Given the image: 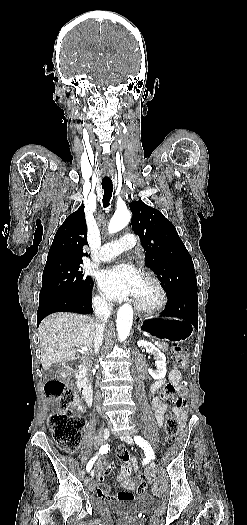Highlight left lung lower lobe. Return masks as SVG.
<instances>
[{
  "label": "left lung lower lobe",
  "instance_id": "obj_1",
  "mask_svg": "<svg viewBox=\"0 0 247 525\" xmlns=\"http://www.w3.org/2000/svg\"><path fill=\"white\" fill-rule=\"evenodd\" d=\"M161 316L185 318L195 328H198L197 292L180 291L168 295L167 305Z\"/></svg>",
  "mask_w": 247,
  "mask_h": 525
}]
</instances>
